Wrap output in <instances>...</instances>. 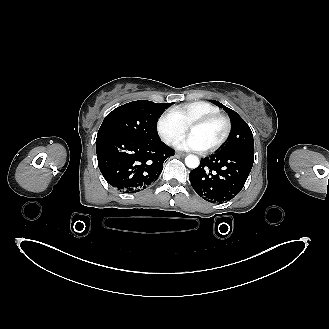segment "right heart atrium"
I'll return each instance as SVG.
<instances>
[{"label": "right heart atrium", "instance_id": "obj_1", "mask_svg": "<svg viewBox=\"0 0 329 329\" xmlns=\"http://www.w3.org/2000/svg\"><path fill=\"white\" fill-rule=\"evenodd\" d=\"M156 131L165 144L174 145L184 135L185 126L171 110H168L157 118Z\"/></svg>", "mask_w": 329, "mask_h": 329}]
</instances>
